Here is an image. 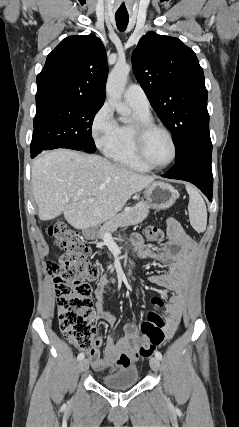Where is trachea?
Listing matches in <instances>:
<instances>
[{"instance_id":"trachea-1","label":"trachea","mask_w":239,"mask_h":427,"mask_svg":"<svg viewBox=\"0 0 239 427\" xmlns=\"http://www.w3.org/2000/svg\"><path fill=\"white\" fill-rule=\"evenodd\" d=\"M115 19L118 30L121 32L125 31L129 20L128 15H115Z\"/></svg>"}]
</instances>
